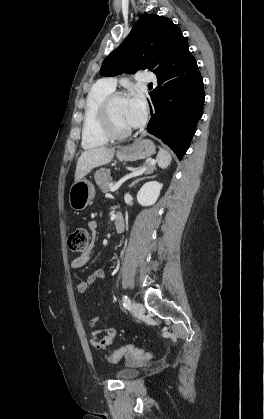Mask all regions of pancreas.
<instances>
[{
    "label": "pancreas",
    "mask_w": 264,
    "mask_h": 419,
    "mask_svg": "<svg viewBox=\"0 0 264 419\" xmlns=\"http://www.w3.org/2000/svg\"><path fill=\"white\" fill-rule=\"evenodd\" d=\"M154 169L153 166L148 167L145 170V173H150L152 172ZM95 182L96 184L99 186V188L103 191V192H108L111 188L112 184V178L110 176V172L107 169H101L98 170L95 173Z\"/></svg>",
    "instance_id": "pancreas-1"
}]
</instances>
